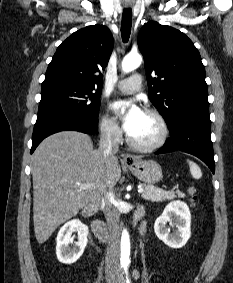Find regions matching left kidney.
<instances>
[{
  "label": "left kidney",
  "instance_id": "1",
  "mask_svg": "<svg viewBox=\"0 0 233 283\" xmlns=\"http://www.w3.org/2000/svg\"><path fill=\"white\" fill-rule=\"evenodd\" d=\"M170 226L176 230L170 233ZM157 237L171 248L183 247L191 236V214L186 203H169L154 224Z\"/></svg>",
  "mask_w": 233,
  "mask_h": 283
}]
</instances>
